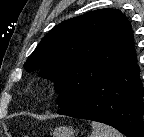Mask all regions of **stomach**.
Here are the masks:
<instances>
[{"mask_svg": "<svg viewBox=\"0 0 144 137\" xmlns=\"http://www.w3.org/2000/svg\"><path fill=\"white\" fill-rule=\"evenodd\" d=\"M53 137H74V132L68 127H57L53 132Z\"/></svg>", "mask_w": 144, "mask_h": 137, "instance_id": "1", "label": "stomach"}]
</instances>
